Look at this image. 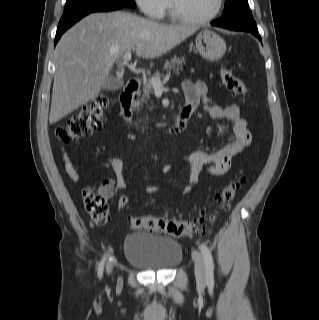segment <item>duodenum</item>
I'll return each instance as SVG.
<instances>
[{
	"label": "duodenum",
	"mask_w": 319,
	"mask_h": 320,
	"mask_svg": "<svg viewBox=\"0 0 319 320\" xmlns=\"http://www.w3.org/2000/svg\"><path fill=\"white\" fill-rule=\"evenodd\" d=\"M139 86V80L136 78H132L128 80L123 92L120 95V104L125 116L131 115L132 102L136 96ZM192 113L193 111L182 109L178 121L174 125L169 127L166 132L169 134H176L178 132H181L186 127L188 120L192 116Z\"/></svg>",
	"instance_id": "duodenum-1"
}]
</instances>
